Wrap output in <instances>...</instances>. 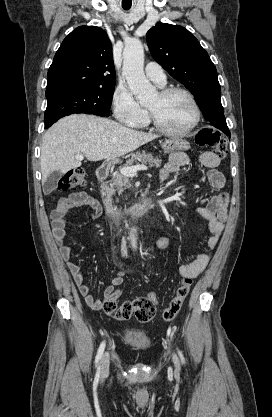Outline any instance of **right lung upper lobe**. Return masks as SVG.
<instances>
[{"label": "right lung upper lobe", "mask_w": 272, "mask_h": 417, "mask_svg": "<svg viewBox=\"0 0 272 417\" xmlns=\"http://www.w3.org/2000/svg\"><path fill=\"white\" fill-rule=\"evenodd\" d=\"M46 91L115 85L112 45L104 30L80 26L62 42L47 75Z\"/></svg>", "instance_id": "right-lung-upper-lobe-1"}]
</instances>
